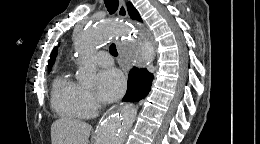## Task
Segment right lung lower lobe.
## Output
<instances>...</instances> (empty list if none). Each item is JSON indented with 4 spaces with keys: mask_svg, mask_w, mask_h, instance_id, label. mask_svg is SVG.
Here are the masks:
<instances>
[{
    "mask_svg": "<svg viewBox=\"0 0 260 144\" xmlns=\"http://www.w3.org/2000/svg\"><path fill=\"white\" fill-rule=\"evenodd\" d=\"M153 74L147 69L133 67L129 72L128 87L123 101L135 102L146 97L151 89Z\"/></svg>",
    "mask_w": 260,
    "mask_h": 144,
    "instance_id": "right-lung-lower-lobe-1",
    "label": "right lung lower lobe"
}]
</instances>
